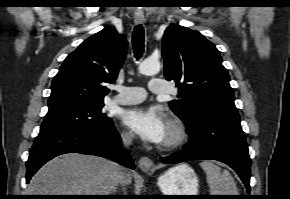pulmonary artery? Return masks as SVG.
I'll return each instance as SVG.
<instances>
[{
	"instance_id": "1",
	"label": "pulmonary artery",
	"mask_w": 290,
	"mask_h": 199,
	"mask_svg": "<svg viewBox=\"0 0 290 199\" xmlns=\"http://www.w3.org/2000/svg\"><path fill=\"white\" fill-rule=\"evenodd\" d=\"M118 95L113 102L120 105H129L145 100L147 93L141 87L117 86L114 88ZM149 89L154 94H166L170 92V86L161 79H152L149 82Z\"/></svg>"
}]
</instances>
